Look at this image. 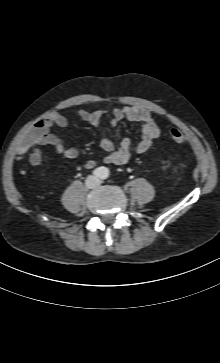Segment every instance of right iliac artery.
Segmentation results:
<instances>
[{
	"label": "right iliac artery",
	"instance_id": "82829eb1",
	"mask_svg": "<svg viewBox=\"0 0 220 363\" xmlns=\"http://www.w3.org/2000/svg\"><path fill=\"white\" fill-rule=\"evenodd\" d=\"M93 174L96 176V177H101L102 176V170L101 169H95L93 171Z\"/></svg>",
	"mask_w": 220,
	"mask_h": 363
}]
</instances>
